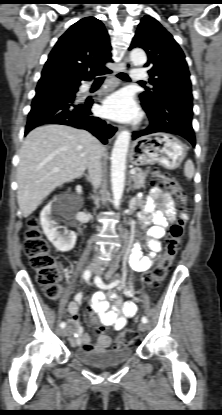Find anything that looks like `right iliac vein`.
<instances>
[{
	"mask_svg": "<svg viewBox=\"0 0 222 415\" xmlns=\"http://www.w3.org/2000/svg\"><path fill=\"white\" fill-rule=\"evenodd\" d=\"M89 270H90L91 272H94V271H95V269H94V267H93V266H90V267H89ZM67 334H68V328H63V329H61V330H60V335H61L62 337L67 336Z\"/></svg>",
	"mask_w": 222,
	"mask_h": 415,
	"instance_id": "63e3f726",
	"label": "right iliac vein"
}]
</instances>
